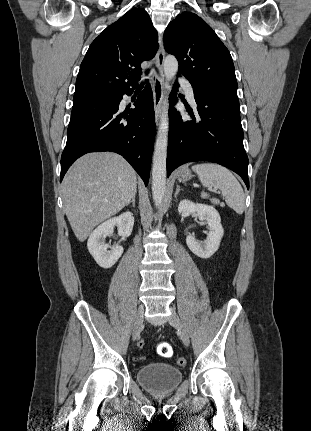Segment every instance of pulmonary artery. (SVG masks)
Wrapping results in <instances>:
<instances>
[{
	"instance_id": "1",
	"label": "pulmonary artery",
	"mask_w": 311,
	"mask_h": 431,
	"mask_svg": "<svg viewBox=\"0 0 311 431\" xmlns=\"http://www.w3.org/2000/svg\"><path fill=\"white\" fill-rule=\"evenodd\" d=\"M181 86H182L184 93L186 94L187 98L190 100V102L195 104L194 90H193V87L190 84V82L182 81Z\"/></svg>"
}]
</instances>
